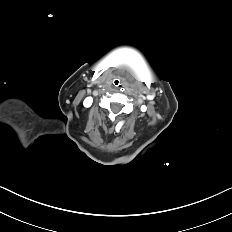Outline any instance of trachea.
Listing matches in <instances>:
<instances>
[{
  "mask_svg": "<svg viewBox=\"0 0 232 232\" xmlns=\"http://www.w3.org/2000/svg\"><path fill=\"white\" fill-rule=\"evenodd\" d=\"M112 84H113L114 87L119 88V87H121V80L119 78H115L112 81Z\"/></svg>",
  "mask_w": 232,
  "mask_h": 232,
  "instance_id": "trachea-1",
  "label": "trachea"
}]
</instances>
